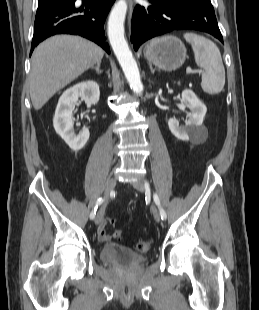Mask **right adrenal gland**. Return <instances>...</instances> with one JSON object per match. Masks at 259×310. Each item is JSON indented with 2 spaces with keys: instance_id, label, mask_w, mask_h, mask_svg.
Returning a JSON list of instances; mask_svg holds the SVG:
<instances>
[{
  "instance_id": "right-adrenal-gland-1",
  "label": "right adrenal gland",
  "mask_w": 259,
  "mask_h": 310,
  "mask_svg": "<svg viewBox=\"0 0 259 310\" xmlns=\"http://www.w3.org/2000/svg\"><path fill=\"white\" fill-rule=\"evenodd\" d=\"M101 62H98L95 67H92L91 69H95L96 73L100 74L102 71L100 70Z\"/></svg>"
}]
</instances>
